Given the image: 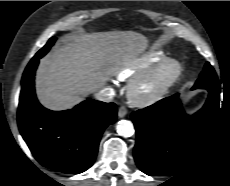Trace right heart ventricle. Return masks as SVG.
Here are the masks:
<instances>
[{
	"instance_id": "e07e8e85",
	"label": "right heart ventricle",
	"mask_w": 230,
	"mask_h": 186,
	"mask_svg": "<svg viewBox=\"0 0 230 186\" xmlns=\"http://www.w3.org/2000/svg\"><path fill=\"white\" fill-rule=\"evenodd\" d=\"M164 55L160 52H154L148 55L143 60L133 63V64H125L118 68L115 72L116 77L119 80H127L134 76H136L138 73L151 68L153 65L158 63L160 60H162Z\"/></svg>"
}]
</instances>
